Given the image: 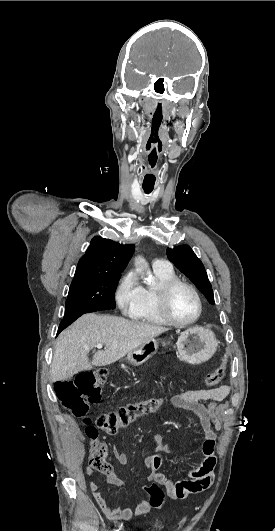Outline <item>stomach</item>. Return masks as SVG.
I'll return each instance as SVG.
<instances>
[{
    "instance_id": "obj_1",
    "label": "stomach",
    "mask_w": 275,
    "mask_h": 531,
    "mask_svg": "<svg viewBox=\"0 0 275 531\" xmlns=\"http://www.w3.org/2000/svg\"><path fill=\"white\" fill-rule=\"evenodd\" d=\"M218 343L216 335L209 329H203V327L187 329V331L181 333L176 343L179 359L189 363V365L206 363L216 353ZM169 345L170 341H162L164 349H168ZM158 349L159 343L157 339H149L146 343L139 345L137 349H132L130 353H127L125 361L133 365V367H139V365L146 363L150 357L156 355Z\"/></svg>"
}]
</instances>
